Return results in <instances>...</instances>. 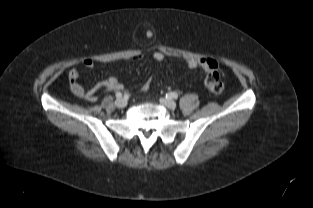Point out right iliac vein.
I'll list each match as a JSON object with an SVG mask.
<instances>
[{
  "label": "right iliac vein",
  "instance_id": "obj_1",
  "mask_svg": "<svg viewBox=\"0 0 313 208\" xmlns=\"http://www.w3.org/2000/svg\"><path fill=\"white\" fill-rule=\"evenodd\" d=\"M115 105L118 107V108H124L127 106V100L124 99V98H118L116 101H115Z\"/></svg>",
  "mask_w": 313,
  "mask_h": 208
}]
</instances>
